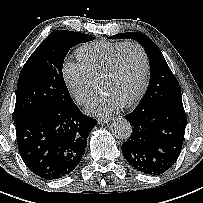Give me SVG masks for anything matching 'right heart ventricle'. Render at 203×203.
Wrapping results in <instances>:
<instances>
[{
    "label": "right heart ventricle",
    "mask_w": 203,
    "mask_h": 203,
    "mask_svg": "<svg viewBox=\"0 0 203 203\" xmlns=\"http://www.w3.org/2000/svg\"><path fill=\"white\" fill-rule=\"evenodd\" d=\"M125 42L98 41L88 43L76 52L80 64L97 81L113 54Z\"/></svg>",
    "instance_id": "e07e8e85"
}]
</instances>
